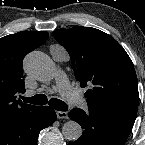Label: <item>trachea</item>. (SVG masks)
<instances>
[{
    "mask_svg": "<svg viewBox=\"0 0 145 145\" xmlns=\"http://www.w3.org/2000/svg\"><path fill=\"white\" fill-rule=\"evenodd\" d=\"M22 99L26 103H31L35 105H43L47 104L48 102L47 97L44 94H38L33 97H23ZM48 104L58 111H66L68 109L65 102L55 98L50 99Z\"/></svg>",
    "mask_w": 145,
    "mask_h": 145,
    "instance_id": "obj_1",
    "label": "trachea"
}]
</instances>
